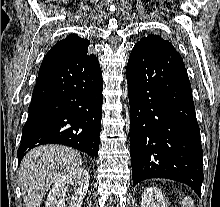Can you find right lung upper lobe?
Instances as JSON below:
<instances>
[{
  "mask_svg": "<svg viewBox=\"0 0 220 207\" xmlns=\"http://www.w3.org/2000/svg\"><path fill=\"white\" fill-rule=\"evenodd\" d=\"M89 40L70 34L58 41L45 55L43 62H55L76 58L87 54Z\"/></svg>",
  "mask_w": 220,
  "mask_h": 207,
  "instance_id": "1",
  "label": "right lung upper lobe"
}]
</instances>
